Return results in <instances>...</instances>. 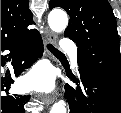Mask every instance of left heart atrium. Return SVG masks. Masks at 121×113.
I'll use <instances>...</instances> for the list:
<instances>
[{"label": "left heart atrium", "instance_id": "39dd6f15", "mask_svg": "<svg viewBox=\"0 0 121 113\" xmlns=\"http://www.w3.org/2000/svg\"><path fill=\"white\" fill-rule=\"evenodd\" d=\"M53 80L54 75L52 71L45 66H41L34 70L29 77L27 84L29 86H38L47 89L52 86Z\"/></svg>", "mask_w": 121, "mask_h": 113}]
</instances>
